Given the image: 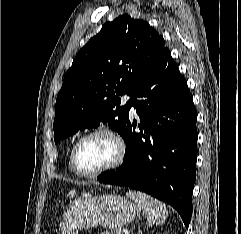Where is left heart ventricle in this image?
Wrapping results in <instances>:
<instances>
[{
	"mask_svg": "<svg viewBox=\"0 0 241 234\" xmlns=\"http://www.w3.org/2000/svg\"><path fill=\"white\" fill-rule=\"evenodd\" d=\"M117 154L114 141L107 135H95L86 139L77 152V163L84 172L98 170L111 163Z\"/></svg>",
	"mask_w": 241,
	"mask_h": 234,
	"instance_id": "obj_1",
	"label": "left heart ventricle"
}]
</instances>
